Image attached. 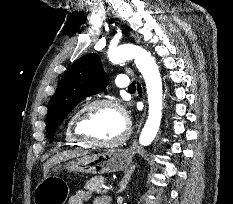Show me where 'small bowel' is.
<instances>
[{
    "mask_svg": "<svg viewBox=\"0 0 233 204\" xmlns=\"http://www.w3.org/2000/svg\"><path fill=\"white\" fill-rule=\"evenodd\" d=\"M89 199V193L85 190H78L73 194L69 199V204H85ZM93 204H108V201L105 198H96L93 201Z\"/></svg>",
    "mask_w": 233,
    "mask_h": 204,
    "instance_id": "obj_1",
    "label": "small bowel"
}]
</instances>
